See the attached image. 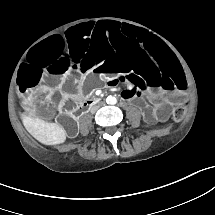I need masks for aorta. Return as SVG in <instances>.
Here are the masks:
<instances>
[{
  "label": "aorta",
  "instance_id": "aorta-1",
  "mask_svg": "<svg viewBox=\"0 0 215 215\" xmlns=\"http://www.w3.org/2000/svg\"><path fill=\"white\" fill-rule=\"evenodd\" d=\"M107 102L109 104H115L116 103V98L113 97V96H109V97H107Z\"/></svg>",
  "mask_w": 215,
  "mask_h": 215
}]
</instances>
